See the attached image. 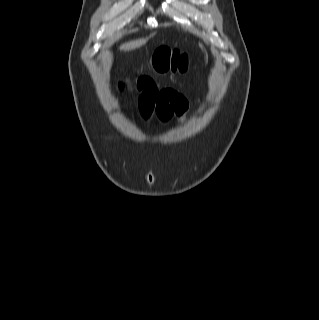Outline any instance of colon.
Returning a JSON list of instances; mask_svg holds the SVG:
<instances>
[{
    "label": "colon",
    "mask_w": 319,
    "mask_h": 320,
    "mask_svg": "<svg viewBox=\"0 0 319 320\" xmlns=\"http://www.w3.org/2000/svg\"><path fill=\"white\" fill-rule=\"evenodd\" d=\"M149 66L159 73L181 74L189 67V57L179 50L162 47L155 51ZM143 117L149 119L151 116Z\"/></svg>",
    "instance_id": "1"
}]
</instances>
